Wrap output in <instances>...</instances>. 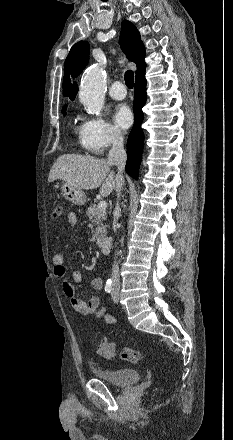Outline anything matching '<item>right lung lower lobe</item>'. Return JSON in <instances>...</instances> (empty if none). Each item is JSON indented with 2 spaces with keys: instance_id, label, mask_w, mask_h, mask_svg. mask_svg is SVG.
<instances>
[{
  "instance_id": "obj_1",
  "label": "right lung lower lobe",
  "mask_w": 233,
  "mask_h": 440,
  "mask_svg": "<svg viewBox=\"0 0 233 440\" xmlns=\"http://www.w3.org/2000/svg\"><path fill=\"white\" fill-rule=\"evenodd\" d=\"M146 99H147L146 79H145V74H143L137 77L135 81V94H134L135 122L127 142L126 172L134 179H138V169L141 162V156L143 150L144 134L140 125L144 117L142 112V107L144 106Z\"/></svg>"
}]
</instances>
